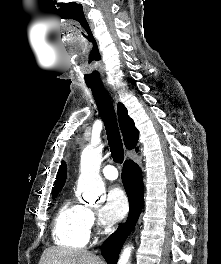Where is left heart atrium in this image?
I'll return each mask as SVG.
<instances>
[{"instance_id":"39dd6f15","label":"left heart atrium","mask_w":221,"mask_h":264,"mask_svg":"<svg viewBox=\"0 0 221 264\" xmlns=\"http://www.w3.org/2000/svg\"><path fill=\"white\" fill-rule=\"evenodd\" d=\"M127 211L128 200L125 193L119 187H113L108 191L99 215L104 223L114 224L120 221Z\"/></svg>"}]
</instances>
